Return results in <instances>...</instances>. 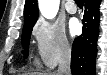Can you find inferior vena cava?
Here are the masks:
<instances>
[{"mask_svg":"<svg viewBox=\"0 0 107 75\" xmlns=\"http://www.w3.org/2000/svg\"><path fill=\"white\" fill-rule=\"evenodd\" d=\"M71 47L69 45H65L62 49L57 75H71Z\"/></svg>","mask_w":107,"mask_h":75,"instance_id":"inferior-vena-cava-1","label":"inferior vena cava"}]
</instances>
